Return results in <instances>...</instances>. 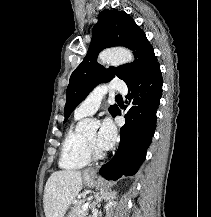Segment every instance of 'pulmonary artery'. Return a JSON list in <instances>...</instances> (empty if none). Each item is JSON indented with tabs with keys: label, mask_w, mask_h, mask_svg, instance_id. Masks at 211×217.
Segmentation results:
<instances>
[{
	"label": "pulmonary artery",
	"mask_w": 211,
	"mask_h": 217,
	"mask_svg": "<svg viewBox=\"0 0 211 217\" xmlns=\"http://www.w3.org/2000/svg\"><path fill=\"white\" fill-rule=\"evenodd\" d=\"M120 92L126 93V84L114 79L107 84H100L96 86L92 92L83 100V102L76 108L75 116L85 117L94 114L100 107L103 97L107 93Z\"/></svg>",
	"instance_id": "1"
}]
</instances>
